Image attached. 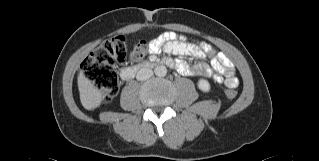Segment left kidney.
<instances>
[{"mask_svg": "<svg viewBox=\"0 0 319 161\" xmlns=\"http://www.w3.org/2000/svg\"><path fill=\"white\" fill-rule=\"evenodd\" d=\"M198 87L203 92H209L210 91V84L206 79H200L198 81Z\"/></svg>", "mask_w": 319, "mask_h": 161, "instance_id": "obj_1", "label": "left kidney"}]
</instances>
